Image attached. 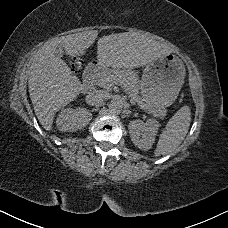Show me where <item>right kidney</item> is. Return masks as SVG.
<instances>
[{"label": "right kidney", "instance_id": "1", "mask_svg": "<svg viewBox=\"0 0 228 228\" xmlns=\"http://www.w3.org/2000/svg\"><path fill=\"white\" fill-rule=\"evenodd\" d=\"M92 119V114L85 108H67L56 119L57 128L64 132H75L84 128Z\"/></svg>", "mask_w": 228, "mask_h": 228}]
</instances>
